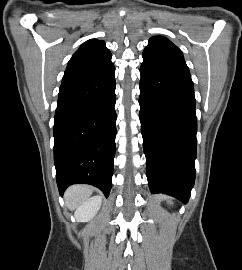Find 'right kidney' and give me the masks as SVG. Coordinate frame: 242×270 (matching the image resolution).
<instances>
[{
  "instance_id": "obj_1",
  "label": "right kidney",
  "mask_w": 242,
  "mask_h": 270,
  "mask_svg": "<svg viewBox=\"0 0 242 270\" xmlns=\"http://www.w3.org/2000/svg\"><path fill=\"white\" fill-rule=\"evenodd\" d=\"M101 197L95 196L87 199L75 211V217L78 222H86L95 216L101 206Z\"/></svg>"
}]
</instances>
